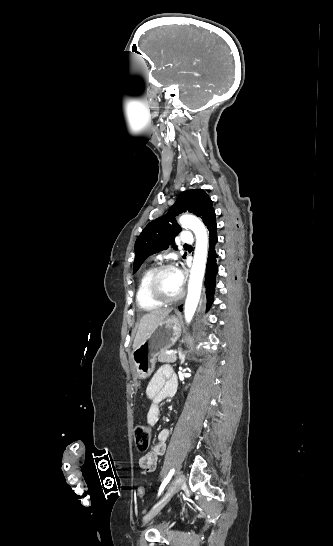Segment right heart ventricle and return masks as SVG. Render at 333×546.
Masks as SVG:
<instances>
[{"label": "right heart ventricle", "mask_w": 333, "mask_h": 546, "mask_svg": "<svg viewBox=\"0 0 333 546\" xmlns=\"http://www.w3.org/2000/svg\"><path fill=\"white\" fill-rule=\"evenodd\" d=\"M153 270H154L153 267H149L148 269L144 271V273L142 274L140 278L137 292H136L137 304L142 310H145V311H153L162 306L161 303L156 302L149 296V293L147 290L148 279Z\"/></svg>", "instance_id": "1"}]
</instances>
